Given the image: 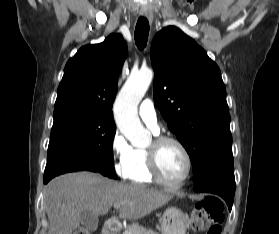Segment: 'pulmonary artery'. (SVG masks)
<instances>
[{
	"mask_svg": "<svg viewBox=\"0 0 279 234\" xmlns=\"http://www.w3.org/2000/svg\"><path fill=\"white\" fill-rule=\"evenodd\" d=\"M139 116L143 122L152 129L154 133L159 132L157 124V114L154 103L151 98H146L142 101L139 107Z\"/></svg>",
	"mask_w": 279,
	"mask_h": 234,
	"instance_id": "pulmonary-artery-1",
	"label": "pulmonary artery"
}]
</instances>
